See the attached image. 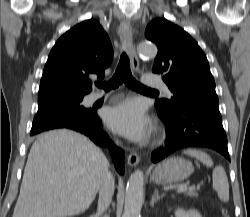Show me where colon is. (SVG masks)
I'll return each instance as SVG.
<instances>
[{
    "label": "colon",
    "mask_w": 250,
    "mask_h": 217,
    "mask_svg": "<svg viewBox=\"0 0 250 217\" xmlns=\"http://www.w3.org/2000/svg\"><path fill=\"white\" fill-rule=\"evenodd\" d=\"M222 217H231L230 213H229V211L227 209L222 210Z\"/></svg>",
    "instance_id": "1"
}]
</instances>
